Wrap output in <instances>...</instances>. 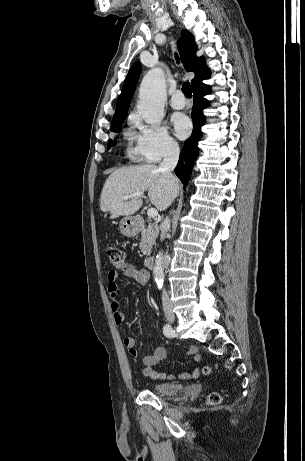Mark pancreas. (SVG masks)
<instances>
[{
    "label": "pancreas",
    "mask_w": 305,
    "mask_h": 461,
    "mask_svg": "<svg viewBox=\"0 0 305 461\" xmlns=\"http://www.w3.org/2000/svg\"><path fill=\"white\" fill-rule=\"evenodd\" d=\"M159 227L156 224H149L147 229L141 232L140 249L144 255H149L152 246L158 237Z\"/></svg>",
    "instance_id": "1"
}]
</instances>
